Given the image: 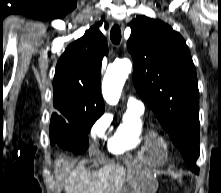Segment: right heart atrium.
<instances>
[{
    "instance_id": "obj_1",
    "label": "right heart atrium",
    "mask_w": 221,
    "mask_h": 193,
    "mask_svg": "<svg viewBox=\"0 0 221 193\" xmlns=\"http://www.w3.org/2000/svg\"><path fill=\"white\" fill-rule=\"evenodd\" d=\"M110 123H111L110 115L107 113L102 114L95 121V123L91 128V137L93 138V140L97 141L101 139L105 135Z\"/></svg>"
}]
</instances>
